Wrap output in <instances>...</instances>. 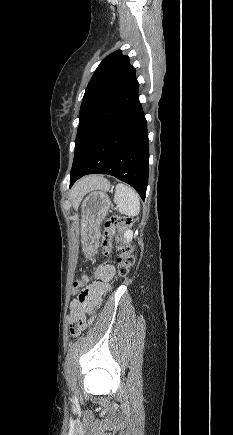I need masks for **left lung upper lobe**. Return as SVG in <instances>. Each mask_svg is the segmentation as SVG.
<instances>
[{
	"label": "left lung upper lobe",
	"mask_w": 233,
	"mask_h": 435,
	"mask_svg": "<svg viewBox=\"0 0 233 435\" xmlns=\"http://www.w3.org/2000/svg\"><path fill=\"white\" fill-rule=\"evenodd\" d=\"M139 83L129 57L115 51L99 64L83 97L74 162L100 133L138 100Z\"/></svg>",
	"instance_id": "1"
}]
</instances>
